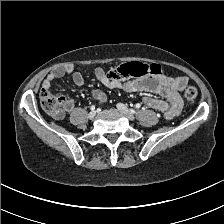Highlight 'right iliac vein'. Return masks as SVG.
<instances>
[{"instance_id":"63e3f726","label":"right iliac vein","mask_w":224,"mask_h":224,"mask_svg":"<svg viewBox=\"0 0 224 224\" xmlns=\"http://www.w3.org/2000/svg\"><path fill=\"white\" fill-rule=\"evenodd\" d=\"M95 114H96L95 111H91V112L88 114V118H89V119H93V118L95 117Z\"/></svg>"}]
</instances>
